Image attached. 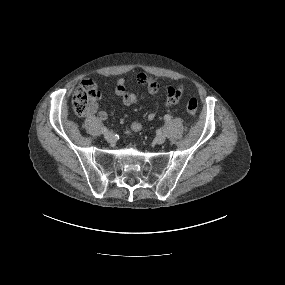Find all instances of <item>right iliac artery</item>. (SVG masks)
Masks as SVG:
<instances>
[{
	"label": "right iliac artery",
	"instance_id": "1",
	"mask_svg": "<svg viewBox=\"0 0 285 285\" xmlns=\"http://www.w3.org/2000/svg\"><path fill=\"white\" fill-rule=\"evenodd\" d=\"M101 132L105 134V133L108 132V129H107L106 127H103V128L101 129Z\"/></svg>",
	"mask_w": 285,
	"mask_h": 285
}]
</instances>
